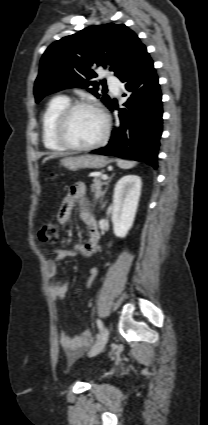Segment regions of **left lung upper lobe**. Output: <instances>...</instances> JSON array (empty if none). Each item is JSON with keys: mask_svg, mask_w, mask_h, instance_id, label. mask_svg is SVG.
Masks as SVG:
<instances>
[{"mask_svg": "<svg viewBox=\"0 0 208 425\" xmlns=\"http://www.w3.org/2000/svg\"><path fill=\"white\" fill-rule=\"evenodd\" d=\"M146 52L137 34L124 24L90 26L66 36L52 43L41 58L34 86L36 102L70 87L85 88L100 97L99 83L93 81L96 67L109 68L121 80L136 68ZM101 100L107 107L112 102L108 95Z\"/></svg>", "mask_w": 208, "mask_h": 425, "instance_id": "obj_1", "label": "left lung upper lobe"}]
</instances>
